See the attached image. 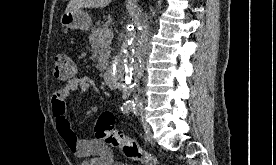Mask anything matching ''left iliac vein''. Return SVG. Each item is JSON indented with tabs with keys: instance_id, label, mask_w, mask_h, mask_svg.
Listing matches in <instances>:
<instances>
[{
	"instance_id": "4c4485c4",
	"label": "left iliac vein",
	"mask_w": 276,
	"mask_h": 165,
	"mask_svg": "<svg viewBox=\"0 0 276 165\" xmlns=\"http://www.w3.org/2000/svg\"><path fill=\"white\" fill-rule=\"evenodd\" d=\"M135 115H137V116H142L143 115L142 104L138 105V108L135 110Z\"/></svg>"
}]
</instances>
